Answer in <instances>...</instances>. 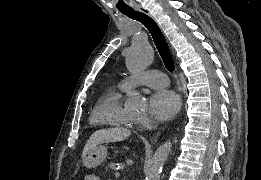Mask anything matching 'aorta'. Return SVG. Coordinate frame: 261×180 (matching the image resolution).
Segmentation results:
<instances>
[{
	"label": "aorta",
	"instance_id": "aorta-1",
	"mask_svg": "<svg viewBox=\"0 0 261 180\" xmlns=\"http://www.w3.org/2000/svg\"><path fill=\"white\" fill-rule=\"evenodd\" d=\"M153 59L152 46L146 41L137 42L126 53V66L131 73H138L148 67ZM126 105L131 109H141L146 106V102L138 92L132 91L128 94ZM171 146V142L167 141L158 147L153 158L146 164L145 180H159Z\"/></svg>",
	"mask_w": 261,
	"mask_h": 180
}]
</instances>
